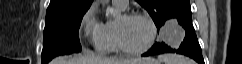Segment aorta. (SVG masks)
Wrapping results in <instances>:
<instances>
[{
  "instance_id": "1",
  "label": "aorta",
  "mask_w": 242,
  "mask_h": 64,
  "mask_svg": "<svg viewBox=\"0 0 242 64\" xmlns=\"http://www.w3.org/2000/svg\"><path fill=\"white\" fill-rule=\"evenodd\" d=\"M116 11L112 8V7H107L106 8V16L107 17H111V16H115Z\"/></svg>"
}]
</instances>
